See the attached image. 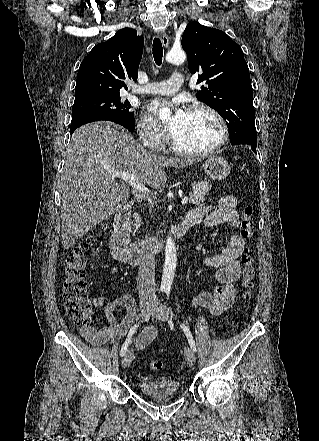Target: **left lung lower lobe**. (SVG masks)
Wrapping results in <instances>:
<instances>
[{"label":"left lung lower lobe","instance_id":"1","mask_svg":"<svg viewBox=\"0 0 319 441\" xmlns=\"http://www.w3.org/2000/svg\"><path fill=\"white\" fill-rule=\"evenodd\" d=\"M232 145H235L234 143H231ZM243 144H247V145H250L251 146V148H252V150H253V152H255L256 153V146H257V144L256 143H254V142H251V141H245V143H243Z\"/></svg>","mask_w":319,"mask_h":441}]
</instances>
